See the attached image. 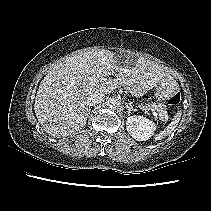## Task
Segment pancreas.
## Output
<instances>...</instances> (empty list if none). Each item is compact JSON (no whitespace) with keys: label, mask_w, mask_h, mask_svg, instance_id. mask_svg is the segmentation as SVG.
I'll return each instance as SVG.
<instances>
[{"label":"pancreas","mask_w":211,"mask_h":211,"mask_svg":"<svg viewBox=\"0 0 211 211\" xmlns=\"http://www.w3.org/2000/svg\"><path fill=\"white\" fill-rule=\"evenodd\" d=\"M152 107L153 110L158 111L159 119L162 121L168 120V113L164 110L163 106L161 104L154 103L152 105H149Z\"/></svg>","instance_id":"1"}]
</instances>
